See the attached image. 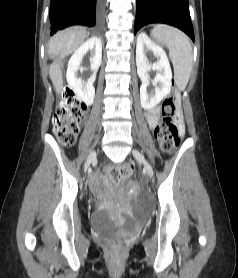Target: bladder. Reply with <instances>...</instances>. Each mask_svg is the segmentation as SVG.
I'll list each match as a JSON object with an SVG mask.
<instances>
[{
	"label": "bladder",
	"instance_id": "bladder-1",
	"mask_svg": "<svg viewBox=\"0 0 238 278\" xmlns=\"http://www.w3.org/2000/svg\"><path fill=\"white\" fill-rule=\"evenodd\" d=\"M91 226L99 233H109L117 228V223L111 219L107 211L99 210L92 214Z\"/></svg>",
	"mask_w": 238,
	"mask_h": 278
}]
</instances>
